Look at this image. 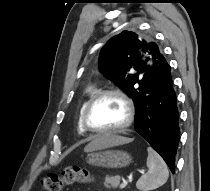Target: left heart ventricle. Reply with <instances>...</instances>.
Instances as JSON below:
<instances>
[{
  "label": "left heart ventricle",
  "mask_w": 210,
  "mask_h": 191,
  "mask_svg": "<svg viewBox=\"0 0 210 191\" xmlns=\"http://www.w3.org/2000/svg\"><path fill=\"white\" fill-rule=\"evenodd\" d=\"M127 117L124 102L114 95L98 100L89 113L90 124L98 129H109L120 126Z\"/></svg>",
  "instance_id": "b2bd125f"
}]
</instances>
